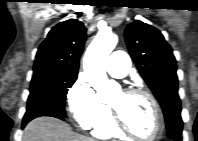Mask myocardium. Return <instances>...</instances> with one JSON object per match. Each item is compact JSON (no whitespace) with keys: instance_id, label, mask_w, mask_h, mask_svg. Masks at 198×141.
<instances>
[{"instance_id":"myocardium-1","label":"myocardium","mask_w":198,"mask_h":141,"mask_svg":"<svg viewBox=\"0 0 198 141\" xmlns=\"http://www.w3.org/2000/svg\"><path fill=\"white\" fill-rule=\"evenodd\" d=\"M123 92L126 94H140V95H143L149 99V101L153 107V111H154L156 130H155L154 134L149 138H142V137L138 136L133 131H131V129L124 123L119 112L115 108L110 106L111 110H112V119H113V122H114L116 128L122 134L127 135V136L132 137L137 140H141V141H155V140H157L163 132L164 120H163V115H162L160 105H159L158 101L156 100V98L154 97V95L152 93H150L149 91H147L146 89H143L140 87L128 88V89H125Z\"/></svg>"}]
</instances>
